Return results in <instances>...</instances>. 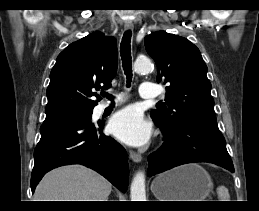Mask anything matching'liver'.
Here are the masks:
<instances>
[{
    "label": "liver",
    "mask_w": 259,
    "mask_h": 211,
    "mask_svg": "<svg viewBox=\"0 0 259 211\" xmlns=\"http://www.w3.org/2000/svg\"><path fill=\"white\" fill-rule=\"evenodd\" d=\"M111 190V183L97 172L82 165H69L43 177L34 201H107Z\"/></svg>",
    "instance_id": "obj_1"
}]
</instances>
